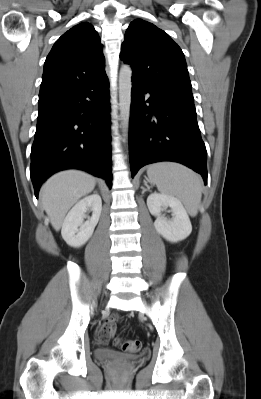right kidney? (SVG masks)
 <instances>
[{
  "instance_id": "1",
  "label": "right kidney",
  "mask_w": 261,
  "mask_h": 399,
  "mask_svg": "<svg viewBox=\"0 0 261 399\" xmlns=\"http://www.w3.org/2000/svg\"><path fill=\"white\" fill-rule=\"evenodd\" d=\"M87 210L92 211V216L83 222ZM101 211L102 200L98 194L89 195L77 202L62 224L61 235L65 242L75 248L84 245L92 236Z\"/></svg>"
}]
</instances>
